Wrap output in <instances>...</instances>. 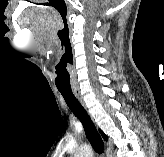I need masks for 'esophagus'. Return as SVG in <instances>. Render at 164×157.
Wrapping results in <instances>:
<instances>
[{
  "label": "esophagus",
  "instance_id": "1",
  "mask_svg": "<svg viewBox=\"0 0 164 157\" xmlns=\"http://www.w3.org/2000/svg\"><path fill=\"white\" fill-rule=\"evenodd\" d=\"M73 92L75 96L77 97V99L81 102V104H84L80 91L75 89Z\"/></svg>",
  "mask_w": 164,
  "mask_h": 157
}]
</instances>
